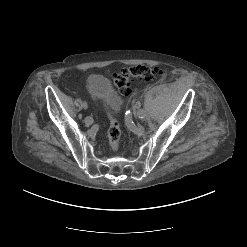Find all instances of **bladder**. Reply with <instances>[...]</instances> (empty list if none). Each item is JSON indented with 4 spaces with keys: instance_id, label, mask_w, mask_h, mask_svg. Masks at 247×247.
<instances>
[{
    "instance_id": "bladder-1",
    "label": "bladder",
    "mask_w": 247,
    "mask_h": 247,
    "mask_svg": "<svg viewBox=\"0 0 247 247\" xmlns=\"http://www.w3.org/2000/svg\"><path fill=\"white\" fill-rule=\"evenodd\" d=\"M87 90L109 116H115L118 113L122 101L107 77L99 74L91 75L87 80Z\"/></svg>"
}]
</instances>
